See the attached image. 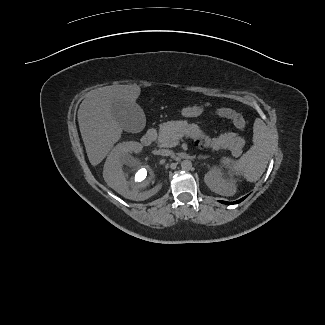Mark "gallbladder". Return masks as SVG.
I'll return each mask as SVG.
<instances>
[{
    "mask_svg": "<svg viewBox=\"0 0 325 325\" xmlns=\"http://www.w3.org/2000/svg\"><path fill=\"white\" fill-rule=\"evenodd\" d=\"M111 112L121 128L127 132L137 133L145 127V114L136 103L114 102L111 106Z\"/></svg>",
    "mask_w": 325,
    "mask_h": 325,
    "instance_id": "obj_1",
    "label": "gallbladder"
}]
</instances>
